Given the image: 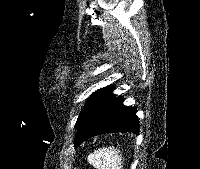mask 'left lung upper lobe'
<instances>
[{
	"label": "left lung upper lobe",
	"instance_id": "left-lung-upper-lobe-1",
	"mask_svg": "<svg viewBox=\"0 0 200 169\" xmlns=\"http://www.w3.org/2000/svg\"><path fill=\"white\" fill-rule=\"evenodd\" d=\"M113 89H114V87L107 86V87H104L102 89L97 90L96 92H94L90 96V98L88 99V102L86 103V105L84 106V108L82 109V111H81V113H80V115L78 117V120L76 122L75 128H78V126L83 121V119L86 117V115L91 110V108L97 102H99L101 99H103L104 97H106L107 95H109L113 91Z\"/></svg>",
	"mask_w": 200,
	"mask_h": 169
}]
</instances>
